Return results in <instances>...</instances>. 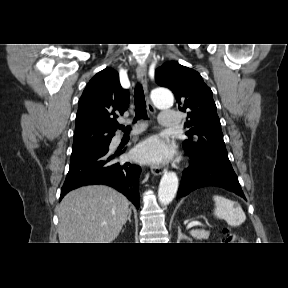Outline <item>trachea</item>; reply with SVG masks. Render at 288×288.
<instances>
[{
  "label": "trachea",
  "instance_id": "3493384b",
  "mask_svg": "<svg viewBox=\"0 0 288 288\" xmlns=\"http://www.w3.org/2000/svg\"><path fill=\"white\" fill-rule=\"evenodd\" d=\"M134 102H135L134 123L141 118L147 119L146 102H145L144 92H143L142 86L140 84H137L135 87ZM116 127H118L119 129H121L124 132H127L131 129L130 126L125 127V126L120 125V124H116Z\"/></svg>",
  "mask_w": 288,
  "mask_h": 288
}]
</instances>
